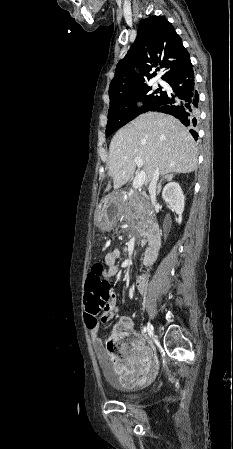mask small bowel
Here are the masks:
<instances>
[{
    "mask_svg": "<svg viewBox=\"0 0 233 449\" xmlns=\"http://www.w3.org/2000/svg\"><path fill=\"white\" fill-rule=\"evenodd\" d=\"M120 255L121 252L117 248L110 250L106 254V267L103 271L105 280H112L119 273ZM148 278L149 275L147 272L139 273L135 284V290L137 292H143L145 290ZM106 291V297L113 300V292L109 288ZM103 309L107 312L101 315L100 322L96 328H89L85 322L90 331V339L96 357L103 370L115 374L124 386H138L149 378V371L154 367V352L145 344L144 337L133 333L134 344L126 349H121L120 355L110 354L99 337V326L100 323H106L113 318L116 307L110 302H105Z\"/></svg>",
    "mask_w": 233,
    "mask_h": 449,
    "instance_id": "small-bowel-1",
    "label": "small bowel"
}]
</instances>
